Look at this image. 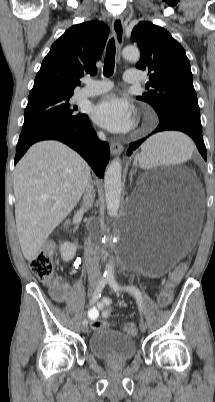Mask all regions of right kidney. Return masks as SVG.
Instances as JSON below:
<instances>
[{"label": "right kidney", "instance_id": "obj_1", "mask_svg": "<svg viewBox=\"0 0 215 402\" xmlns=\"http://www.w3.org/2000/svg\"><path fill=\"white\" fill-rule=\"evenodd\" d=\"M76 245L70 242H65L61 245L60 253L62 259L68 261L75 256L76 253Z\"/></svg>", "mask_w": 215, "mask_h": 402}]
</instances>
